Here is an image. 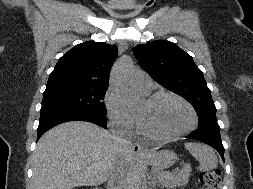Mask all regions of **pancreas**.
I'll list each match as a JSON object with an SVG mask.
<instances>
[{"label": "pancreas", "instance_id": "1", "mask_svg": "<svg viewBox=\"0 0 253 189\" xmlns=\"http://www.w3.org/2000/svg\"><path fill=\"white\" fill-rule=\"evenodd\" d=\"M190 176V169L177 172H164V171H158L157 172V178L159 182L163 186L167 187H175V186H183L188 183Z\"/></svg>", "mask_w": 253, "mask_h": 189}]
</instances>
